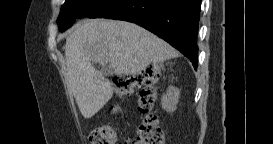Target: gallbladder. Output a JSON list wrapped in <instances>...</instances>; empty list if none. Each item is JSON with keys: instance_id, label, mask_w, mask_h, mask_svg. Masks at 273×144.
<instances>
[{"instance_id": "gallbladder-1", "label": "gallbladder", "mask_w": 273, "mask_h": 144, "mask_svg": "<svg viewBox=\"0 0 273 144\" xmlns=\"http://www.w3.org/2000/svg\"><path fill=\"white\" fill-rule=\"evenodd\" d=\"M97 68L98 70H101L104 76H112L114 74V70L111 65H98Z\"/></svg>"}]
</instances>
